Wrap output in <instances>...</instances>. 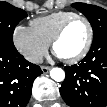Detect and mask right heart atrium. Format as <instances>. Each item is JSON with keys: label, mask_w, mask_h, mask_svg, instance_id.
Here are the masks:
<instances>
[{"label": "right heart atrium", "mask_w": 107, "mask_h": 107, "mask_svg": "<svg viewBox=\"0 0 107 107\" xmlns=\"http://www.w3.org/2000/svg\"><path fill=\"white\" fill-rule=\"evenodd\" d=\"M13 43L24 58L32 63H39L49 48V44L40 39L31 27L21 24L14 28Z\"/></svg>", "instance_id": "right-heart-atrium-1"}]
</instances>
